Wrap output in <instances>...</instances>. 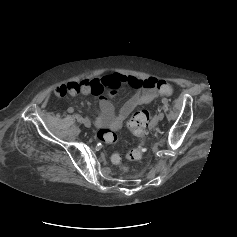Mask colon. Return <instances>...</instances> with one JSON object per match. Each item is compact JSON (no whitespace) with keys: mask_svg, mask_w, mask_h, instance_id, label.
<instances>
[{"mask_svg":"<svg viewBox=\"0 0 237 237\" xmlns=\"http://www.w3.org/2000/svg\"><path fill=\"white\" fill-rule=\"evenodd\" d=\"M157 87L160 94L162 95L170 96L173 93V87L167 81H159ZM151 119L152 115L150 111L146 109L135 112L130 118L128 127L130 128L133 135L137 138L138 144L126 154L127 159L137 160L142 156L148 139L147 127ZM97 138L99 141L106 144H114L118 139L116 132L107 128L99 129L97 132ZM111 160L115 164H120L122 159L118 153H113Z\"/></svg>","mask_w":237,"mask_h":237,"instance_id":"5ec220e1","label":"colon"}]
</instances>
